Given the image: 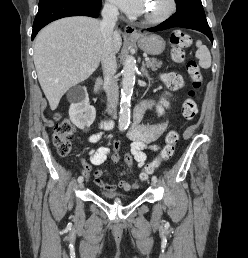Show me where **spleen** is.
<instances>
[{
    "label": "spleen",
    "instance_id": "1",
    "mask_svg": "<svg viewBox=\"0 0 248 258\" xmlns=\"http://www.w3.org/2000/svg\"><path fill=\"white\" fill-rule=\"evenodd\" d=\"M197 51L196 58L199 60V65L201 68L208 69L211 66V55L208 48L202 44L200 40L196 42Z\"/></svg>",
    "mask_w": 248,
    "mask_h": 258
}]
</instances>
